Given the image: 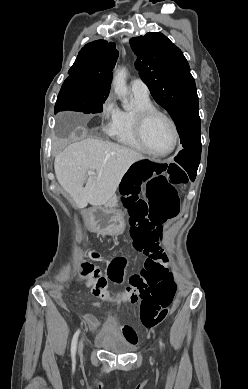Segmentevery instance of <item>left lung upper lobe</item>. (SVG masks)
Masks as SVG:
<instances>
[{
    "label": "left lung upper lobe",
    "mask_w": 248,
    "mask_h": 389,
    "mask_svg": "<svg viewBox=\"0 0 248 389\" xmlns=\"http://www.w3.org/2000/svg\"><path fill=\"white\" fill-rule=\"evenodd\" d=\"M130 45L137 55L136 69L153 98L164 107L175 124L198 108V96L190 67L181 50L160 32L134 37ZM183 147L195 140L180 137Z\"/></svg>",
    "instance_id": "obj_1"
}]
</instances>
